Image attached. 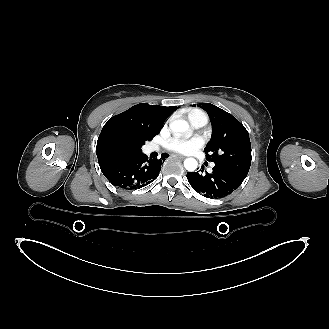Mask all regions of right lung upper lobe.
<instances>
[{
  "instance_id": "cb5924a9",
  "label": "right lung upper lobe",
  "mask_w": 329,
  "mask_h": 329,
  "mask_svg": "<svg viewBox=\"0 0 329 329\" xmlns=\"http://www.w3.org/2000/svg\"><path fill=\"white\" fill-rule=\"evenodd\" d=\"M176 109V106L141 103L110 118L97 140L99 164L141 152L145 141L153 139L159 133L167 117Z\"/></svg>"
}]
</instances>
